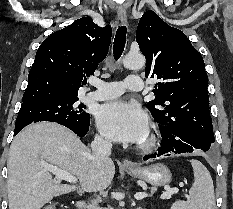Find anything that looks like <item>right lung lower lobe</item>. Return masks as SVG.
<instances>
[{
    "label": "right lung lower lobe",
    "instance_id": "right-lung-lower-lobe-1",
    "mask_svg": "<svg viewBox=\"0 0 233 209\" xmlns=\"http://www.w3.org/2000/svg\"><path fill=\"white\" fill-rule=\"evenodd\" d=\"M89 125H90V121L81 127H68L69 129H71L72 131H74L79 137H84L86 135V133L89 130ZM23 128H15L14 131V136Z\"/></svg>",
    "mask_w": 233,
    "mask_h": 209
}]
</instances>
